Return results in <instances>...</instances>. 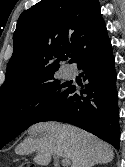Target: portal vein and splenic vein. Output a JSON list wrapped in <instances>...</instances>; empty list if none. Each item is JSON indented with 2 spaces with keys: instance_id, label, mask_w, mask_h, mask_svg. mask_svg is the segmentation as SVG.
<instances>
[{
  "instance_id": "portal-vein-and-splenic-vein-1",
  "label": "portal vein and splenic vein",
  "mask_w": 125,
  "mask_h": 167,
  "mask_svg": "<svg viewBox=\"0 0 125 167\" xmlns=\"http://www.w3.org/2000/svg\"><path fill=\"white\" fill-rule=\"evenodd\" d=\"M61 162L64 167H68L70 165V160L68 158H63Z\"/></svg>"
}]
</instances>
